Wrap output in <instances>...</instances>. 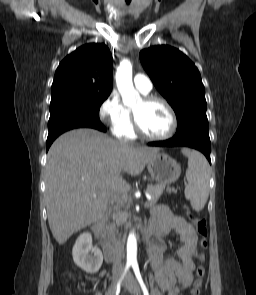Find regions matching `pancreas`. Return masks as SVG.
<instances>
[{
	"mask_svg": "<svg viewBox=\"0 0 256 295\" xmlns=\"http://www.w3.org/2000/svg\"><path fill=\"white\" fill-rule=\"evenodd\" d=\"M166 186L163 184H156V185H149L147 187V192L151 195L152 199L149 201V204L147 207H152L153 205L156 204V202L159 200L161 195L163 194ZM167 192H172L173 190L169 187L166 188ZM127 213L126 211L124 212H118L115 216L114 219L116 222H123L126 220Z\"/></svg>",
	"mask_w": 256,
	"mask_h": 295,
	"instance_id": "1",
	"label": "pancreas"
}]
</instances>
